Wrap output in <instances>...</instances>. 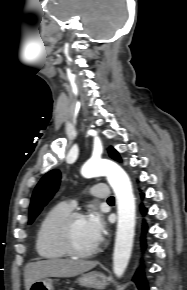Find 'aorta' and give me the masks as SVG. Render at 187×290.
I'll return each mask as SVG.
<instances>
[{
    "label": "aorta",
    "instance_id": "1",
    "mask_svg": "<svg viewBox=\"0 0 187 290\" xmlns=\"http://www.w3.org/2000/svg\"><path fill=\"white\" fill-rule=\"evenodd\" d=\"M85 178L106 176L117 201L118 223L113 253V271L121 277L128 265L135 231V197L128 175L107 160H89L81 170Z\"/></svg>",
    "mask_w": 187,
    "mask_h": 290
}]
</instances>
